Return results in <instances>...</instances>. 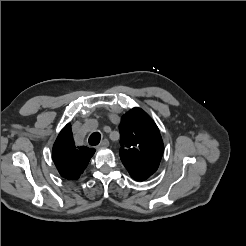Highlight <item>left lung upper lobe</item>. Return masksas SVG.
I'll use <instances>...</instances> for the list:
<instances>
[{
	"label": "left lung upper lobe",
	"mask_w": 246,
	"mask_h": 246,
	"mask_svg": "<svg viewBox=\"0 0 246 246\" xmlns=\"http://www.w3.org/2000/svg\"><path fill=\"white\" fill-rule=\"evenodd\" d=\"M120 158L135 180H146L156 172L164 146L159 129L140 108H133L121 118Z\"/></svg>",
	"instance_id": "1"
}]
</instances>
